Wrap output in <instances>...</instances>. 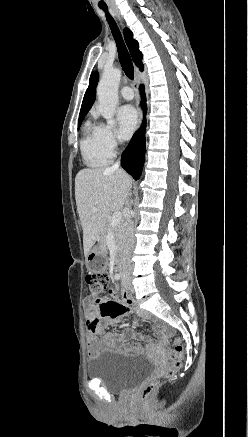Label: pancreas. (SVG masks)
<instances>
[{
    "label": "pancreas",
    "instance_id": "pancreas-1",
    "mask_svg": "<svg viewBox=\"0 0 248 437\" xmlns=\"http://www.w3.org/2000/svg\"><path fill=\"white\" fill-rule=\"evenodd\" d=\"M109 232H111L113 234L114 241H115L116 245L119 246L121 243V240H122V235H123V225L118 224L117 226L112 227L109 223L105 226L102 237H101V243L104 246L106 245L107 234Z\"/></svg>",
    "mask_w": 248,
    "mask_h": 437
}]
</instances>
